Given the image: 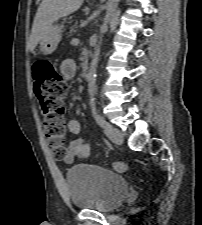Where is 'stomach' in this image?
Instances as JSON below:
<instances>
[{
  "instance_id": "1",
  "label": "stomach",
  "mask_w": 202,
  "mask_h": 225,
  "mask_svg": "<svg viewBox=\"0 0 202 225\" xmlns=\"http://www.w3.org/2000/svg\"><path fill=\"white\" fill-rule=\"evenodd\" d=\"M62 37V26L59 25H52L42 36L41 40L39 41V48L40 51L45 54L49 55L52 54Z\"/></svg>"
}]
</instances>
